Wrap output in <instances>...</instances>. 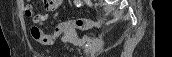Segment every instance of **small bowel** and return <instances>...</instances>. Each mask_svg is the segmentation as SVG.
Masks as SVG:
<instances>
[{
	"label": "small bowel",
	"instance_id": "1",
	"mask_svg": "<svg viewBox=\"0 0 172 57\" xmlns=\"http://www.w3.org/2000/svg\"><path fill=\"white\" fill-rule=\"evenodd\" d=\"M62 5V1L61 0H45L44 1V6L46 8V10L48 11H52V10H56L58 8H60ZM29 8L31 10V15H28L26 13V9ZM25 17L26 18H33L34 21V26L31 28V35L32 37L38 41L41 44L44 45H53L57 39V37L60 35V33H54L53 35H47L44 34L41 30V28L39 27L40 25L44 24L46 22V20L48 19V14H34L33 9L31 6H27L25 8ZM38 33H41V36L39 38H36V35Z\"/></svg>",
	"mask_w": 172,
	"mask_h": 57
}]
</instances>
